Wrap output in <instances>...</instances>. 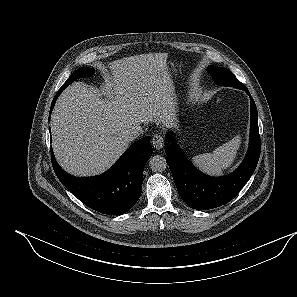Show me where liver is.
Returning <instances> with one entry per match:
<instances>
[{
  "label": "liver",
  "instance_id": "1",
  "mask_svg": "<svg viewBox=\"0 0 297 297\" xmlns=\"http://www.w3.org/2000/svg\"><path fill=\"white\" fill-rule=\"evenodd\" d=\"M167 53L134 55L108 64L104 96L75 82L59 96L52 116V147L59 165L75 176L99 175L129 145L134 124L173 125V81Z\"/></svg>",
  "mask_w": 297,
  "mask_h": 297
}]
</instances>
